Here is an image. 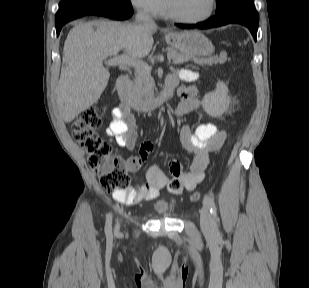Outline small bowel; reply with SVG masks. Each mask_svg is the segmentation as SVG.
<instances>
[{
  "label": "small bowel",
  "mask_w": 309,
  "mask_h": 288,
  "mask_svg": "<svg viewBox=\"0 0 309 288\" xmlns=\"http://www.w3.org/2000/svg\"><path fill=\"white\" fill-rule=\"evenodd\" d=\"M166 84L176 87L178 77L171 75ZM178 91L181 97V102L176 109L178 117L187 115L200 107L201 101L195 87L184 86L180 87ZM105 133L111 141H115L119 146L133 149L137 142L138 127L131 110L126 106L114 108L112 120ZM225 138L226 132L219 130L212 123H202L194 130L188 125H183L180 129V142L183 148L192 155V161L186 165L178 159L171 160L169 163L171 179L158 166H152L147 171L146 183H140L124 193H114V200L130 205L141 200H153L165 187H168L173 194L194 190L204 179L209 154L219 150ZM152 150V143L143 144L138 155L127 158V169L131 172L138 170Z\"/></svg>",
  "instance_id": "c3829d8e"
}]
</instances>
